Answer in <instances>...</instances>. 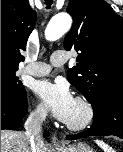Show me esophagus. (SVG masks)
Returning <instances> with one entry per match:
<instances>
[{"mask_svg":"<svg viewBox=\"0 0 123 152\" xmlns=\"http://www.w3.org/2000/svg\"><path fill=\"white\" fill-rule=\"evenodd\" d=\"M51 144L54 147H61L62 146V142L55 135H53L52 138H51Z\"/></svg>","mask_w":123,"mask_h":152,"instance_id":"esophagus-1","label":"esophagus"}]
</instances>
